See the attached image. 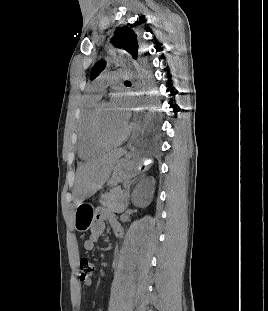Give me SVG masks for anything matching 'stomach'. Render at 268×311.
Instances as JSON below:
<instances>
[{"instance_id": "1", "label": "stomach", "mask_w": 268, "mask_h": 311, "mask_svg": "<svg viewBox=\"0 0 268 311\" xmlns=\"http://www.w3.org/2000/svg\"><path fill=\"white\" fill-rule=\"evenodd\" d=\"M142 165V161L134 152L125 153V157L119 158L115 163L111 177L107 181L110 187H116L119 183L135 177ZM94 220L93 209L90 205L81 203L76 207L74 213V228L78 232L90 229Z\"/></svg>"}]
</instances>
